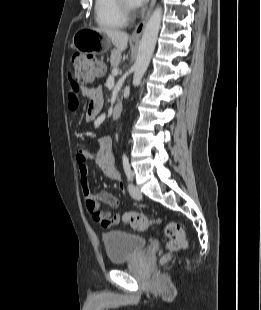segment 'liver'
<instances>
[{"mask_svg": "<svg viewBox=\"0 0 261 310\" xmlns=\"http://www.w3.org/2000/svg\"><path fill=\"white\" fill-rule=\"evenodd\" d=\"M93 30L106 34V36L119 52L126 50L129 39V36L126 32L107 28H93Z\"/></svg>", "mask_w": 261, "mask_h": 310, "instance_id": "obj_1", "label": "liver"}]
</instances>
